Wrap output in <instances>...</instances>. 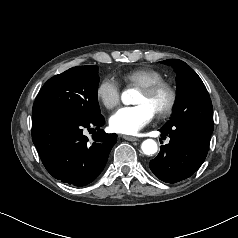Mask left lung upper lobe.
<instances>
[{
  "label": "left lung upper lobe",
  "instance_id": "1",
  "mask_svg": "<svg viewBox=\"0 0 238 238\" xmlns=\"http://www.w3.org/2000/svg\"><path fill=\"white\" fill-rule=\"evenodd\" d=\"M161 63L173 67L177 74V100L173 115L164 126L182 123L213 129L212 102L197 73L178 59H168Z\"/></svg>",
  "mask_w": 238,
  "mask_h": 238
}]
</instances>
